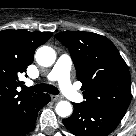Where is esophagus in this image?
Listing matches in <instances>:
<instances>
[{
  "instance_id": "34e87169",
  "label": "esophagus",
  "mask_w": 136,
  "mask_h": 136,
  "mask_svg": "<svg viewBox=\"0 0 136 136\" xmlns=\"http://www.w3.org/2000/svg\"><path fill=\"white\" fill-rule=\"evenodd\" d=\"M61 99H62V97L59 96V95H51V100H52V101H59V100H61Z\"/></svg>"
}]
</instances>
